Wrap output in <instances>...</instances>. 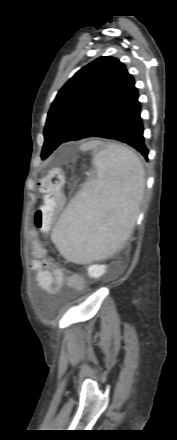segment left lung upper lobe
<instances>
[{"label": "left lung upper lobe", "instance_id": "1", "mask_svg": "<svg viewBox=\"0 0 177 440\" xmlns=\"http://www.w3.org/2000/svg\"><path fill=\"white\" fill-rule=\"evenodd\" d=\"M134 78L118 59L102 56L81 68L58 92L47 116L41 157L82 139L136 93Z\"/></svg>", "mask_w": 177, "mask_h": 440}]
</instances>
